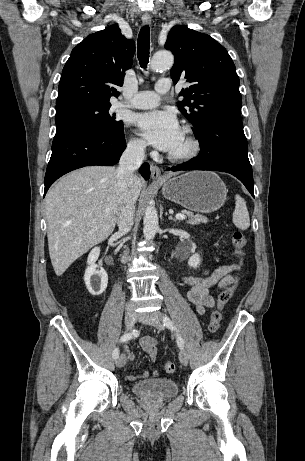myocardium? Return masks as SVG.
<instances>
[{"label": "myocardium", "instance_id": "myocardium-1", "mask_svg": "<svg viewBox=\"0 0 305 461\" xmlns=\"http://www.w3.org/2000/svg\"><path fill=\"white\" fill-rule=\"evenodd\" d=\"M182 132L185 134L188 142V148L182 153H169L168 158L171 161H188L196 157L201 150V143L195 136L193 130L189 126H184Z\"/></svg>", "mask_w": 305, "mask_h": 461}]
</instances>
